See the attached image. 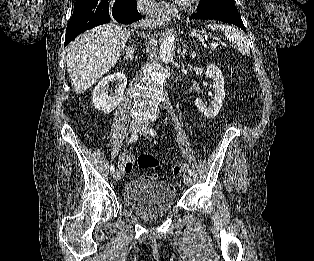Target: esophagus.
Instances as JSON below:
<instances>
[{
	"instance_id": "34e87169",
	"label": "esophagus",
	"mask_w": 314,
	"mask_h": 261,
	"mask_svg": "<svg viewBox=\"0 0 314 261\" xmlns=\"http://www.w3.org/2000/svg\"><path fill=\"white\" fill-rule=\"evenodd\" d=\"M156 14L158 13L159 15L160 14H163V15H171L173 14L174 12H176V8L175 7H170L169 5H166V7L162 8V9H156L155 10Z\"/></svg>"
}]
</instances>
